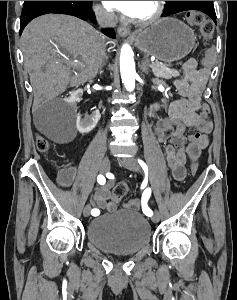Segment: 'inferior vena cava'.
<instances>
[{"label": "inferior vena cava", "mask_w": 237, "mask_h": 300, "mask_svg": "<svg viewBox=\"0 0 237 300\" xmlns=\"http://www.w3.org/2000/svg\"><path fill=\"white\" fill-rule=\"evenodd\" d=\"M97 23L102 27V29H106V27H116L118 23V17L114 15V13H108V11H105V9H102V7H95L94 9ZM105 43L103 41L102 45V55L104 59L105 57Z\"/></svg>", "instance_id": "obj_1"}]
</instances>
